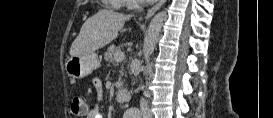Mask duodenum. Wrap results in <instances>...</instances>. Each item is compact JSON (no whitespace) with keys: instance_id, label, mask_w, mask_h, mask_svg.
<instances>
[{"instance_id":"1","label":"duodenum","mask_w":273,"mask_h":118,"mask_svg":"<svg viewBox=\"0 0 273 118\" xmlns=\"http://www.w3.org/2000/svg\"><path fill=\"white\" fill-rule=\"evenodd\" d=\"M131 99V93L126 89H120L117 92V100L121 103L128 102Z\"/></svg>"}]
</instances>
